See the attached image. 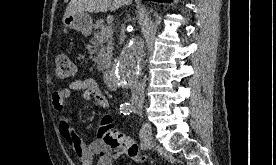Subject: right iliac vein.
I'll list each match as a JSON object with an SVG mask.
<instances>
[{
    "label": "right iliac vein",
    "instance_id": "63e3f726",
    "mask_svg": "<svg viewBox=\"0 0 276 165\" xmlns=\"http://www.w3.org/2000/svg\"><path fill=\"white\" fill-rule=\"evenodd\" d=\"M142 103L137 104L138 107H142ZM146 134L148 142L151 140L152 132H151V126L147 123L145 124Z\"/></svg>",
    "mask_w": 276,
    "mask_h": 165
}]
</instances>
